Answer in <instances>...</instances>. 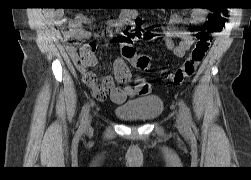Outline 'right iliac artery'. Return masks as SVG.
<instances>
[{
	"mask_svg": "<svg viewBox=\"0 0 251 180\" xmlns=\"http://www.w3.org/2000/svg\"><path fill=\"white\" fill-rule=\"evenodd\" d=\"M88 112H89V105L86 104L83 109H82V112H81V118H80V128L82 129L85 125V122H86V119H87V115H88Z\"/></svg>",
	"mask_w": 251,
	"mask_h": 180,
	"instance_id": "1",
	"label": "right iliac artery"
}]
</instances>
